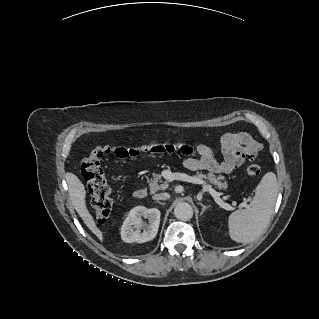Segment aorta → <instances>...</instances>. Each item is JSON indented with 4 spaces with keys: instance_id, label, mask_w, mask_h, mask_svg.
<instances>
[{
    "instance_id": "762f6f07",
    "label": "aorta",
    "mask_w": 319,
    "mask_h": 319,
    "mask_svg": "<svg viewBox=\"0 0 319 319\" xmlns=\"http://www.w3.org/2000/svg\"><path fill=\"white\" fill-rule=\"evenodd\" d=\"M174 215L181 221L190 220L193 216V208L187 202H179L174 208Z\"/></svg>"
}]
</instances>
